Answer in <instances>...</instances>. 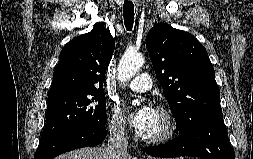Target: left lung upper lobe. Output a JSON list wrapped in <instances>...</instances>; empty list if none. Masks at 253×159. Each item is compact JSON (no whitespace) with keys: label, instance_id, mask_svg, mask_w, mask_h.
Returning <instances> with one entry per match:
<instances>
[{"label":"left lung upper lobe","instance_id":"obj_1","mask_svg":"<svg viewBox=\"0 0 253 159\" xmlns=\"http://www.w3.org/2000/svg\"><path fill=\"white\" fill-rule=\"evenodd\" d=\"M146 47L178 129L199 117L222 114L214 68L192 34L159 23L149 31Z\"/></svg>","mask_w":253,"mask_h":159}]
</instances>
